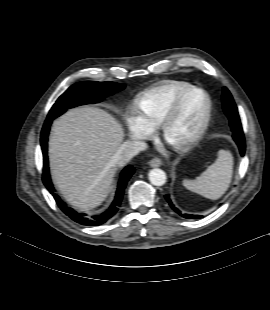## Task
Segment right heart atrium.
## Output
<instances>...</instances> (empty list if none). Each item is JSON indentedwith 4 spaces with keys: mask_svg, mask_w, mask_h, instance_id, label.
I'll return each instance as SVG.
<instances>
[{
    "mask_svg": "<svg viewBox=\"0 0 270 310\" xmlns=\"http://www.w3.org/2000/svg\"><path fill=\"white\" fill-rule=\"evenodd\" d=\"M125 124L128 134L136 139H145L154 131V127L145 120L135 104L128 106L125 113Z\"/></svg>",
    "mask_w": 270,
    "mask_h": 310,
    "instance_id": "right-heart-atrium-1",
    "label": "right heart atrium"
}]
</instances>
